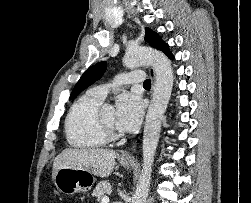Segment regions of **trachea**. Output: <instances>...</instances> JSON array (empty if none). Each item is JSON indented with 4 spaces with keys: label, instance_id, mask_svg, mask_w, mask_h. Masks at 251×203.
<instances>
[{
    "label": "trachea",
    "instance_id": "1",
    "mask_svg": "<svg viewBox=\"0 0 251 203\" xmlns=\"http://www.w3.org/2000/svg\"><path fill=\"white\" fill-rule=\"evenodd\" d=\"M143 85L144 86H151V80L150 79L145 80Z\"/></svg>",
    "mask_w": 251,
    "mask_h": 203
}]
</instances>
